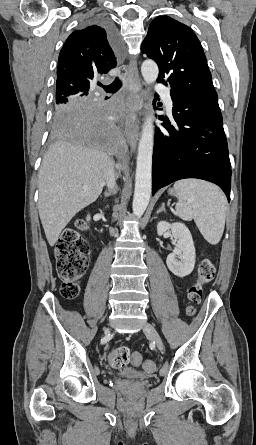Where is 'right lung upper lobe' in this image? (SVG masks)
<instances>
[{
	"label": "right lung upper lobe",
	"mask_w": 256,
	"mask_h": 445,
	"mask_svg": "<svg viewBox=\"0 0 256 445\" xmlns=\"http://www.w3.org/2000/svg\"><path fill=\"white\" fill-rule=\"evenodd\" d=\"M116 59L117 48L101 24L74 31L59 54L56 97L65 100L88 93L99 75L116 67Z\"/></svg>",
	"instance_id": "1"
}]
</instances>
